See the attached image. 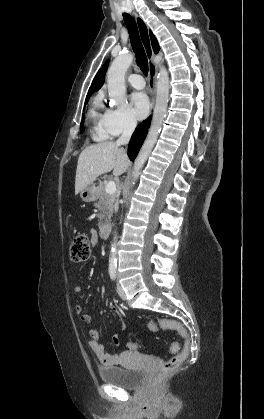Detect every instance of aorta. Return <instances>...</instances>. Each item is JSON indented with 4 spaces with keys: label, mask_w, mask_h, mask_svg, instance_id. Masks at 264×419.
Returning <instances> with one entry per match:
<instances>
[{
    "label": "aorta",
    "mask_w": 264,
    "mask_h": 419,
    "mask_svg": "<svg viewBox=\"0 0 264 419\" xmlns=\"http://www.w3.org/2000/svg\"><path fill=\"white\" fill-rule=\"evenodd\" d=\"M133 56L131 54H122L116 57L107 71L108 93L114 105H120L126 102V87H125V73L132 64ZM169 96V75L165 67L159 68L156 101L154 107L153 118L147 138L135 160L133 168V182L137 180L140 170L144 166L149 154L151 153L158 135L161 131V126L167 110ZM116 259V243L111 246V254L109 259V266L115 267Z\"/></svg>",
    "instance_id": "1"
}]
</instances>
